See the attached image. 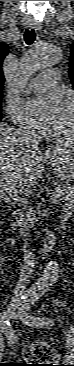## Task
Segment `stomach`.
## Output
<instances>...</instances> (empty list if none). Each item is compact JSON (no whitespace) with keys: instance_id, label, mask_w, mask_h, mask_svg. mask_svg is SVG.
Listing matches in <instances>:
<instances>
[{"instance_id":"stomach-1","label":"stomach","mask_w":74,"mask_h":366,"mask_svg":"<svg viewBox=\"0 0 74 366\" xmlns=\"http://www.w3.org/2000/svg\"><path fill=\"white\" fill-rule=\"evenodd\" d=\"M54 173L62 180H71L74 176V158L62 151H56L52 157Z\"/></svg>"}]
</instances>
